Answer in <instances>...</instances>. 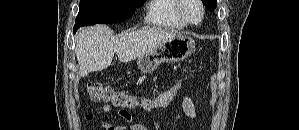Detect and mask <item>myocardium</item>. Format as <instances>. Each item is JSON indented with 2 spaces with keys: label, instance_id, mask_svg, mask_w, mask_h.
<instances>
[{
  "label": "myocardium",
  "instance_id": "f54148a6",
  "mask_svg": "<svg viewBox=\"0 0 299 130\" xmlns=\"http://www.w3.org/2000/svg\"><path fill=\"white\" fill-rule=\"evenodd\" d=\"M190 0H179L178 1V15L180 17V19L186 24V25H189V26H198L200 25L203 20H204V16H205V8H204V5L202 3V1L200 0H192L194 1L200 8V12H201V16H200V19L199 21L197 22H192L191 20H189V18L186 16L185 14V8H186V5L187 3L189 2Z\"/></svg>",
  "mask_w": 299,
  "mask_h": 130
}]
</instances>
